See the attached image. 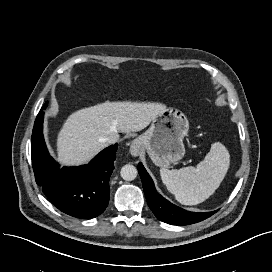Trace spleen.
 Here are the masks:
<instances>
[{
	"label": "spleen",
	"mask_w": 272,
	"mask_h": 272,
	"mask_svg": "<svg viewBox=\"0 0 272 272\" xmlns=\"http://www.w3.org/2000/svg\"><path fill=\"white\" fill-rule=\"evenodd\" d=\"M230 165L228 150L214 143L204 160L196 167L179 170L160 169L162 182L168 191L184 205H196L208 199L223 181Z\"/></svg>",
	"instance_id": "1"
}]
</instances>
